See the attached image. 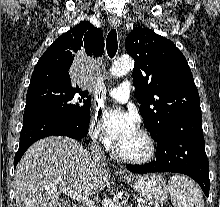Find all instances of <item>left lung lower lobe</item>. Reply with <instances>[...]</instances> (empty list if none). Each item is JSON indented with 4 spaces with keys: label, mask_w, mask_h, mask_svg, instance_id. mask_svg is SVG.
Masks as SVG:
<instances>
[{
    "label": "left lung lower lobe",
    "mask_w": 220,
    "mask_h": 207,
    "mask_svg": "<svg viewBox=\"0 0 220 207\" xmlns=\"http://www.w3.org/2000/svg\"><path fill=\"white\" fill-rule=\"evenodd\" d=\"M157 141L156 160L145 165H131L134 173L174 172L193 178L209 195V162L205 152L202 115L190 114L174 121Z\"/></svg>",
    "instance_id": "left-lung-lower-lobe-1"
}]
</instances>
